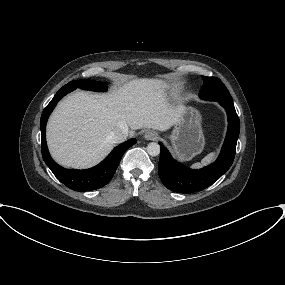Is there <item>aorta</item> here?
I'll list each match as a JSON object with an SVG mask.
<instances>
[{
  "mask_svg": "<svg viewBox=\"0 0 285 285\" xmlns=\"http://www.w3.org/2000/svg\"><path fill=\"white\" fill-rule=\"evenodd\" d=\"M147 152L151 156H158L160 154V145L156 142H151L147 145Z\"/></svg>",
  "mask_w": 285,
  "mask_h": 285,
  "instance_id": "1",
  "label": "aorta"
}]
</instances>
